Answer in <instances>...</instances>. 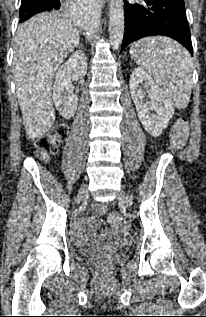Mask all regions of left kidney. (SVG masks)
Masks as SVG:
<instances>
[{"label":"left kidney","mask_w":206,"mask_h":317,"mask_svg":"<svg viewBox=\"0 0 206 317\" xmlns=\"http://www.w3.org/2000/svg\"><path fill=\"white\" fill-rule=\"evenodd\" d=\"M144 85L148 89L150 102H144ZM132 100L144 129L152 136H160L174 115V108L162 93L150 75L141 68H136L130 76L129 83ZM154 110L155 114H150Z\"/></svg>","instance_id":"1"}]
</instances>
